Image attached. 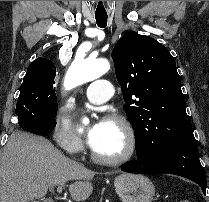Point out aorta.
<instances>
[{
	"mask_svg": "<svg viewBox=\"0 0 209 202\" xmlns=\"http://www.w3.org/2000/svg\"><path fill=\"white\" fill-rule=\"evenodd\" d=\"M109 69L110 63L107 59H84L76 56L66 75L65 87L75 88L103 76ZM84 122L88 123V120L85 119Z\"/></svg>",
	"mask_w": 209,
	"mask_h": 202,
	"instance_id": "obj_1",
	"label": "aorta"
}]
</instances>
